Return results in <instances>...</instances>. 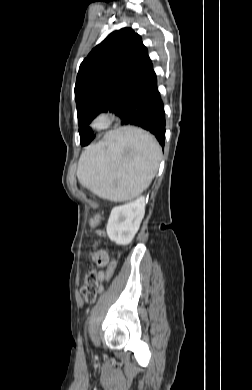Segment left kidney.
<instances>
[{
    "label": "left kidney",
    "instance_id": "obj_1",
    "mask_svg": "<svg viewBox=\"0 0 252 390\" xmlns=\"http://www.w3.org/2000/svg\"><path fill=\"white\" fill-rule=\"evenodd\" d=\"M145 205V198L139 197L114 207L106 227L109 239L118 245H128L139 230L145 214Z\"/></svg>",
    "mask_w": 252,
    "mask_h": 390
}]
</instances>
